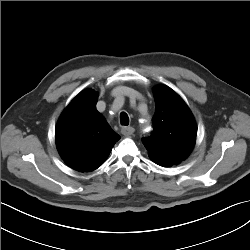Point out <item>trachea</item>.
<instances>
[{"label": "trachea", "mask_w": 250, "mask_h": 250, "mask_svg": "<svg viewBox=\"0 0 250 250\" xmlns=\"http://www.w3.org/2000/svg\"><path fill=\"white\" fill-rule=\"evenodd\" d=\"M120 121H121V125H125V126L129 125V117L127 113L121 112Z\"/></svg>", "instance_id": "trachea-1"}]
</instances>
